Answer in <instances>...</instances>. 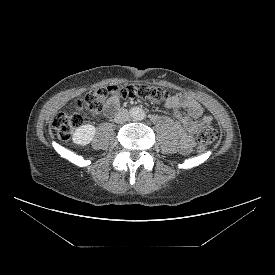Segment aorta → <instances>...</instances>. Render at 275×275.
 <instances>
[{"mask_svg": "<svg viewBox=\"0 0 275 275\" xmlns=\"http://www.w3.org/2000/svg\"><path fill=\"white\" fill-rule=\"evenodd\" d=\"M130 116L137 121L143 120L145 117V112L140 107H133L130 109Z\"/></svg>", "mask_w": 275, "mask_h": 275, "instance_id": "1", "label": "aorta"}]
</instances>
